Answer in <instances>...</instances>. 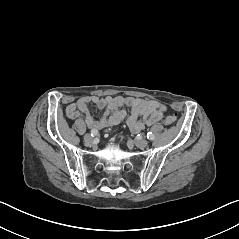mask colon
Returning a JSON list of instances; mask_svg holds the SVG:
<instances>
[{
	"label": "colon",
	"mask_w": 239,
	"mask_h": 239,
	"mask_svg": "<svg viewBox=\"0 0 239 239\" xmlns=\"http://www.w3.org/2000/svg\"><path fill=\"white\" fill-rule=\"evenodd\" d=\"M176 120V116L175 115H168L165 120H164V123L166 125H172Z\"/></svg>",
	"instance_id": "1"
}]
</instances>
